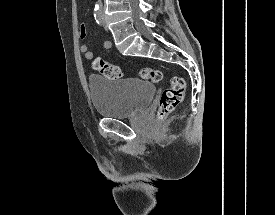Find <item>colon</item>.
<instances>
[{
  "instance_id": "1",
  "label": "colon",
  "mask_w": 275,
  "mask_h": 215,
  "mask_svg": "<svg viewBox=\"0 0 275 215\" xmlns=\"http://www.w3.org/2000/svg\"><path fill=\"white\" fill-rule=\"evenodd\" d=\"M92 66L106 79H119L122 71L117 65L111 64L104 59L96 58ZM140 77L144 80L158 83L162 80V72L154 68H143L140 71ZM186 91V83L180 77H172L169 86L163 90L160 96L157 117L164 119L167 117L183 100Z\"/></svg>"
}]
</instances>
